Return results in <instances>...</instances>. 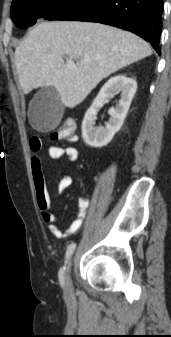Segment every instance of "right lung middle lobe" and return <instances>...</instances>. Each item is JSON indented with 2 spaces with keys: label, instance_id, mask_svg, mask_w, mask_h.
Segmentation results:
<instances>
[{
  "label": "right lung middle lobe",
  "instance_id": "right-lung-middle-lobe-1",
  "mask_svg": "<svg viewBox=\"0 0 171 337\" xmlns=\"http://www.w3.org/2000/svg\"><path fill=\"white\" fill-rule=\"evenodd\" d=\"M69 0H13L11 19L22 29L46 18Z\"/></svg>",
  "mask_w": 171,
  "mask_h": 337
}]
</instances>
